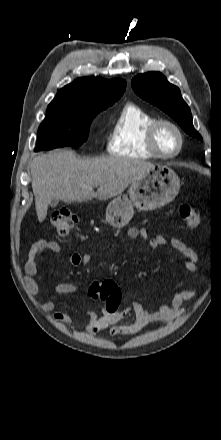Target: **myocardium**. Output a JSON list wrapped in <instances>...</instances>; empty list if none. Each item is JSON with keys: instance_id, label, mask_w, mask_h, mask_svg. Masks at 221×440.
Masks as SVG:
<instances>
[{"instance_id": "f54148a6", "label": "myocardium", "mask_w": 221, "mask_h": 440, "mask_svg": "<svg viewBox=\"0 0 221 440\" xmlns=\"http://www.w3.org/2000/svg\"><path fill=\"white\" fill-rule=\"evenodd\" d=\"M162 126L171 127L178 136V140H179L178 147L172 153H164L160 150L158 146L157 143L158 132ZM147 145L149 150L155 157L160 159H172L177 157L181 153L184 147V135L181 128L175 122L168 119H156L149 125L147 129Z\"/></svg>"}]
</instances>
